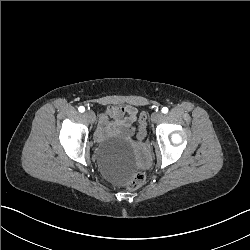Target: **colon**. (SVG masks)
<instances>
[{
	"instance_id": "1",
	"label": "colon",
	"mask_w": 250,
	"mask_h": 250,
	"mask_svg": "<svg viewBox=\"0 0 250 250\" xmlns=\"http://www.w3.org/2000/svg\"><path fill=\"white\" fill-rule=\"evenodd\" d=\"M146 119H147V113L145 111H142L140 114V119H139L140 127L142 130L137 135V141L140 143L145 139V136H146V132H145ZM146 180H147L146 173L143 171H138L135 173L134 176H132L126 181L125 188L129 192H135L139 188H141L142 185L145 184Z\"/></svg>"
}]
</instances>
